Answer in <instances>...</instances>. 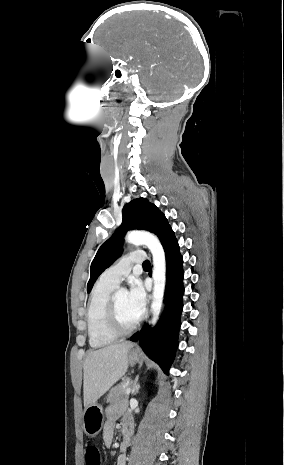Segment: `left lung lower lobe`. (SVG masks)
Returning <instances> with one entry per match:
<instances>
[{"label":"left lung lower lobe","instance_id":"left-lung-lower-lobe-1","mask_svg":"<svg viewBox=\"0 0 284 465\" xmlns=\"http://www.w3.org/2000/svg\"><path fill=\"white\" fill-rule=\"evenodd\" d=\"M167 263V284L164 313L153 329L145 326L131 337L139 342L143 351L168 374L178 346L182 296L184 293L182 268L183 258L179 252L178 241L172 232L163 243Z\"/></svg>","mask_w":284,"mask_h":465}]
</instances>
